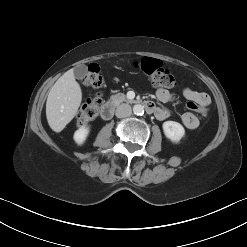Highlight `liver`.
<instances>
[{
    "label": "liver",
    "instance_id": "6515ba94",
    "mask_svg": "<svg viewBox=\"0 0 247 247\" xmlns=\"http://www.w3.org/2000/svg\"><path fill=\"white\" fill-rule=\"evenodd\" d=\"M82 101V91L72 69L52 86L46 101V117L50 128L61 132L74 118Z\"/></svg>",
    "mask_w": 247,
    "mask_h": 247
}]
</instances>
